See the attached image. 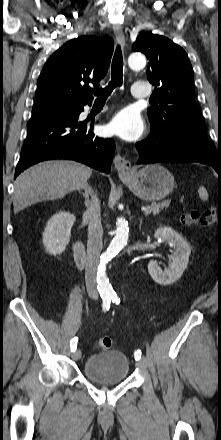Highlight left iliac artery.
Wrapping results in <instances>:
<instances>
[{
  "label": "left iliac artery",
  "instance_id": "obj_1",
  "mask_svg": "<svg viewBox=\"0 0 221 440\" xmlns=\"http://www.w3.org/2000/svg\"><path fill=\"white\" fill-rule=\"evenodd\" d=\"M110 298L113 301V303H116V304L120 303V298L116 294L110 296ZM134 357H135V360H139L141 358V351L140 350L135 351Z\"/></svg>",
  "mask_w": 221,
  "mask_h": 440
}]
</instances>
